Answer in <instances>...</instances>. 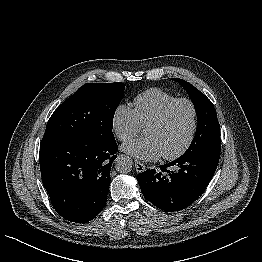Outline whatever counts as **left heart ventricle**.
<instances>
[{"label":"left heart ventricle","instance_id":"1","mask_svg":"<svg viewBox=\"0 0 262 262\" xmlns=\"http://www.w3.org/2000/svg\"><path fill=\"white\" fill-rule=\"evenodd\" d=\"M191 124V107L187 103H179L172 108L162 125L147 127L145 135L157 141L163 155H169L184 145L188 138Z\"/></svg>","mask_w":262,"mask_h":262}]
</instances>
